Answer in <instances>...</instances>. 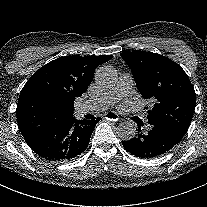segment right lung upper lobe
<instances>
[{"instance_id": "right-lung-upper-lobe-1", "label": "right lung upper lobe", "mask_w": 207, "mask_h": 207, "mask_svg": "<svg viewBox=\"0 0 207 207\" xmlns=\"http://www.w3.org/2000/svg\"><path fill=\"white\" fill-rule=\"evenodd\" d=\"M112 57L65 56L36 71L21 90L16 109L25 141L54 130L72 118L75 99L86 92L96 67Z\"/></svg>"}]
</instances>
